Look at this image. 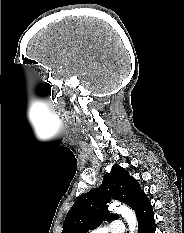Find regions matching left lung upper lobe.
<instances>
[{
    "instance_id": "left-lung-upper-lobe-1",
    "label": "left lung upper lobe",
    "mask_w": 184,
    "mask_h": 233,
    "mask_svg": "<svg viewBox=\"0 0 184 233\" xmlns=\"http://www.w3.org/2000/svg\"><path fill=\"white\" fill-rule=\"evenodd\" d=\"M144 195L138 181L127 170L115 164L111 172L104 175L98 188L77 198L65 217L62 233H87L104 220L110 222L119 218L107 210L106 204L110 200H119L133 209Z\"/></svg>"
}]
</instances>
